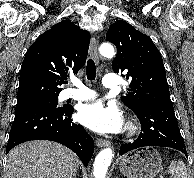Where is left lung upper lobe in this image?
Wrapping results in <instances>:
<instances>
[{
    "label": "left lung upper lobe",
    "mask_w": 194,
    "mask_h": 178,
    "mask_svg": "<svg viewBox=\"0 0 194 178\" xmlns=\"http://www.w3.org/2000/svg\"><path fill=\"white\" fill-rule=\"evenodd\" d=\"M106 39L117 47L113 71L131 79L130 92L122 97L126 106L135 112L139 103L170 100L161 54L147 35L121 20L110 26Z\"/></svg>",
    "instance_id": "5c2ea615"
}]
</instances>
